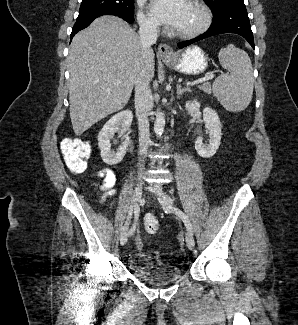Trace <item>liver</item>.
Instances as JSON below:
<instances>
[{"mask_svg":"<svg viewBox=\"0 0 298 325\" xmlns=\"http://www.w3.org/2000/svg\"><path fill=\"white\" fill-rule=\"evenodd\" d=\"M141 38L118 16H99L77 32L69 46V110L77 136L107 114L126 106L143 66L146 82L155 74V54L142 58ZM121 82L116 84V80Z\"/></svg>","mask_w":298,"mask_h":325,"instance_id":"6515ba94","label":"liver"}]
</instances>
